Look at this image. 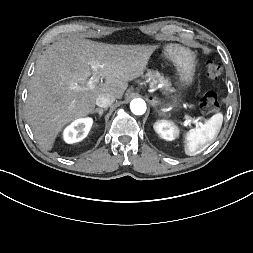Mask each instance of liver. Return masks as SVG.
Segmentation results:
<instances>
[{"label": "liver", "instance_id": "liver-1", "mask_svg": "<svg viewBox=\"0 0 253 253\" xmlns=\"http://www.w3.org/2000/svg\"><path fill=\"white\" fill-rule=\"evenodd\" d=\"M156 48L79 37L63 38L48 47L37 61L26 102V118L40 146L51 150L67 124L93 113L99 95L121 99L128 82L144 73ZM91 62L98 65L97 76L105 79L93 89L86 86L93 75ZM75 84L81 89L70 88Z\"/></svg>", "mask_w": 253, "mask_h": 253}]
</instances>
